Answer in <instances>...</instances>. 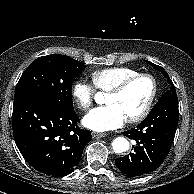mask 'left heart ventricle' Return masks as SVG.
<instances>
[{"mask_svg": "<svg viewBox=\"0 0 194 194\" xmlns=\"http://www.w3.org/2000/svg\"><path fill=\"white\" fill-rule=\"evenodd\" d=\"M152 92V83L148 78H139L129 84L119 95H107L106 104L114 105L125 119L139 114L145 107Z\"/></svg>", "mask_w": 194, "mask_h": 194, "instance_id": "obj_1", "label": "left heart ventricle"}]
</instances>
